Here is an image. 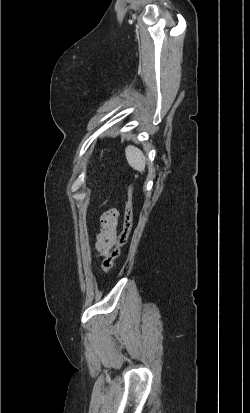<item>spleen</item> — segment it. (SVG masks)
<instances>
[{"instance_id":"spleen-1","label":"spleen","mask_w":250,"mask_h":413,"mask_svg":"<svg viewBox=\"0 0 250 413\" xmlns=\"http://www.w3.org/2000/svg\"><path fill=\"white\" fill-rule=\"evenodd\" d=\"M126 159L129 165L139 172H144L146 165V158L143 152L135 146L129 145L125 150Z\"/></svg>"}]
</instances>
